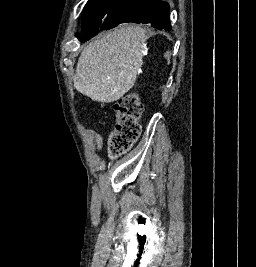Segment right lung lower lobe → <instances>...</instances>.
<instances>
[{"instance_id": "right-lung-lower-lobe-1", "label": "right lung lower lobe", "mask_w": 256, "mask_h": 267, "mask_svg": "<svg viewBox=\"0 0 256 267\" xmlns=\"http://www.w3.org/2000/svg\"><path fill=\"white\" fill-rule=\"evenodd\" d=\"M169 5L161 0H141L125 13L111 28L122 23H143L160 30H171Z\"/></svg>"}]
</instances>
